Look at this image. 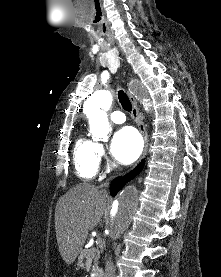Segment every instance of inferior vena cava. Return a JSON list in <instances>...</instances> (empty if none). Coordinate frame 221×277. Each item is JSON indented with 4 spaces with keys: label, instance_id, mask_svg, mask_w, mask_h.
I'll return each instance as SVG.
<instances>
[{
    "label": "inferior vena cava",
    "instance_id": "602c4592",
    "mask_svg": "<svg viewBox=\"0 0 221 277\" xmlns=\"http://www.w3.org/2000/svg\"><path fill=\"white\" fill-rule=\"evenodd\" d=\"M108 182L101 184L102 187L108 186ZM105 277H115V266L113 262L109 259L106 262Z\"/></svg>",
    "mask_w": 221,
    "mask_h": 277
}]
</instances>
